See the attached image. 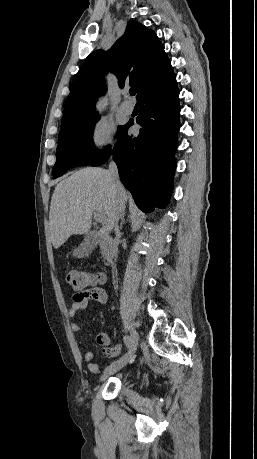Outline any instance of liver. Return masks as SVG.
<instances>
[{
    "instance_id": "1",
    "label": "liver",
    "mask_w": 257,
    "mask_h": 459,
    "mask_svg": "<svg viewBox=\"0 0 257 459\" xmlns=\"http://www.w3.org/2000/svg\"><path fill=\"white\" fill-rule=\"evenodd\" d=\"M120 189L125 204L126 192L122 185ZM116 200L108 170L103 168L86 167L59 182L53 192L49 212L54 248L62 246L71 235L88 233L94 212L103 217L104 225L98 235L107 236L114 227Z\"/></svg>"
}]
</instances>
